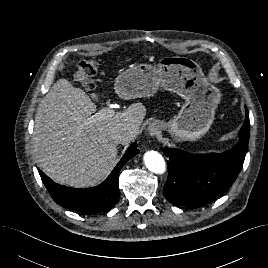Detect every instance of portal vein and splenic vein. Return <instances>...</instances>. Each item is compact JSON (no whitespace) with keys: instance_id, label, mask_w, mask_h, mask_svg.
<instances>
[{"instance_id":"18ae733b","label":"portal vein and splenic vein","mask_w":268,"mask_h":268,"mask_svg":"<svg viewBox=\"0 0 268 268\" xmlns=\"http://www.w3.org/2000/svg\"><path fill=\"white\" fill-rule=\"evenodd\" d=\"M115 114V109L113 107H105L98 111L95 116L98 119H107Z\"/></svg>"}]
</instances>
